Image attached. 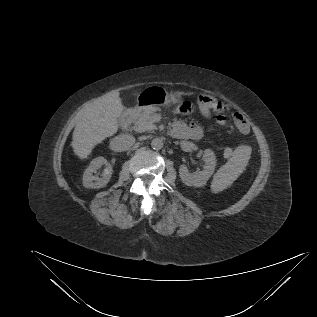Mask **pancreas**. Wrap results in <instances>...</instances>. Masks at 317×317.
Wrapping results in <instances>:
<instances>
[{
	"mask_svg": "<svg viewBox=\"0 0 317 317\" xmlns=\"http://www.w3.org/2000/svg\"><path fill=\"white\" fill-rule=\"evenodd\" d=\"M154 112V107L145 108L142 112H137L133 118V129L138 133L157 129L152 118Z\"/></svg>",
	"mask_w": 317,
	"mask_h": 317,
	"instance_id": "1",
	"label": "pancreas"
}]
</instances>
